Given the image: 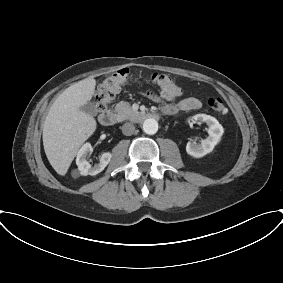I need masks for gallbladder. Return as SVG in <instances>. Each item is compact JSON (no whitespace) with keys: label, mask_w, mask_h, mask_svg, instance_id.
I'll return each instance as SVG.
<instances>
[{"label":"gallbladder","mask_w":283,"mask_h":283,"mask_svg":"<svg viewBox=\"0 0 283 283\" xmlns=\"http://www.w3.org/2000/svg\"><path fill=\"white\" fill-rule=\"evenodd\" d=\"M80 109L82 111H84L85 113L89 114V115H96L97 114V108H96L95 104H93L91 102H88L87 104L82 106Z\"/></svg>","instance_id":"1"}]
</instances>
